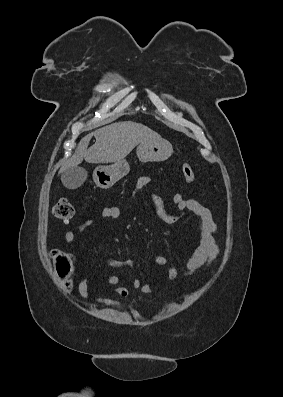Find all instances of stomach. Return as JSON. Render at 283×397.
Here are the masks:
<instances>
[{
    "mask_svg": "<svg viewBox=\"0 0 283 397\" xmlns=\"http://www.w3.org/2000/svg\"><path fill=\"white\" fill-rule=\"evenodd\" d=\"M137 156L143 163L162 162L173 153L172 144L165 139L144 141L137 148ZM130 166L126 160H120L112 165H100L93 172L96 185L102 189L112 187L118 180L129 173Z\"/></svg>",
    "mask_w": 283,
    "mask_h": 397,
    "instance_id": "1",
    "label": "stomach"
}]
</instances>
